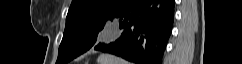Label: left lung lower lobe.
<instances>
[{
	"mask_svg": "<svg viewBox=\"0 0 242 64\" xmlns=\"http://www.w3.org/2000/svg\"><path fill=\"white\" fill-rule=\"evenodd\" d=\"M174 0H130L113 17L122 33L94 49L136 64H162L174 22Z\"/></svg>",
	"mask_w": 242,
	"mask_h": 64,
	"instance_id": "left-lung-lower-lobe-1",
	"label": "left lung lower lobe"
}]
</instances>
